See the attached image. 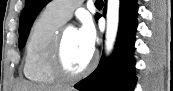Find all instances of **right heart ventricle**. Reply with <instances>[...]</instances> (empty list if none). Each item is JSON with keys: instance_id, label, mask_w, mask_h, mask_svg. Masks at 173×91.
<instances>
[{"instance_id": "right-heart-ventricle-1", "label": "right heart ventricle", "mask_w": 173, "mask_h": 91, "mask_svg": "<svg viewBox=\"0 0 173 91\" xmlns=\"http://www.w3.org/2000/svg\"><path fill=\"white\" fill-rule=\"evenodd\" d=\"M64 22L49 9L44 10L33 23L25 46L23 72L27 79L44 85L58 82L48 67L52 42Z\"/></svg>"}]
</instances>
